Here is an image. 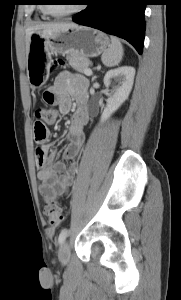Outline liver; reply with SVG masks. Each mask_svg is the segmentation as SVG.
Returning a JSON list of instances; mask_svg holds the SVG:
<instances>
[{"instance_id":"6515ba94","label":"liver","mask_w":181,"mask_h":300,"mask_svg":"<svg viewBox=\"0 0 181 300\" xmlns=\"http://www.w3.org/2000/svg\"><path fill=\"white\" fill-rule=\"evenodd\" d=\"M75 26L76 24L74 23H42L28 28L26 31V55L28 53V44L31 34L54 35Z\"/></svg>"}]
</instances>
